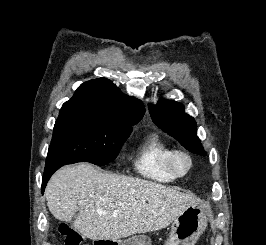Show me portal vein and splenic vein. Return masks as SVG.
Listing matches in <instances>:
<instances>
[{
  "mask_svg": "<svg viewBox=\"0 0 266 245\" xmlns=\"http://www.w3.org/2000/svg\"><path fill=\"white\" fill-rule=\"evenodd\" d=\"M98 213H106L105 209H99Z\"/></svg>",
  "mask_w": 266,
  "mask_h": 245,
  "instance_id": "18ae733b",
  "label": "portal vein and splenic vein"
}]
</instances>
